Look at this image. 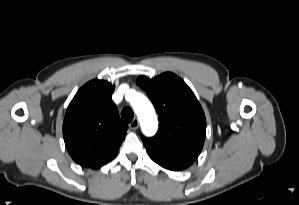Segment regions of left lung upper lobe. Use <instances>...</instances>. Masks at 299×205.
Here are the masks:
<instances>
[{
    "label": "left lung upper lobe",
    "mask_w": 299,
    "mask_h": 205,
    "mask_svg": "<svg viewBox=\"0 0 299 205\" xmlns=\"http://www.w3.org/2000/svg\"><path fill=\"white\" fill-rule=\"evenodd\" d=\"M137 84L144 89L157 113L160 127L152 138L144 141L181 140L204 144L206 119L192 90L173 73H164L153 79L140 76Z\"/></svg>",
    "instance_id": "left-lung-upper-lobe-1"
}]
</instances>
